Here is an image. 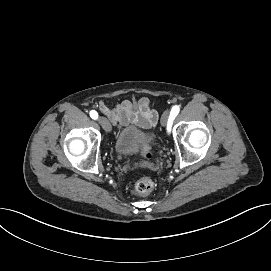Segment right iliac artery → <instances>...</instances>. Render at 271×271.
I'll return each instance as SVG.
<instances>
[{
    "mask_svg": "<svg viewBox=\"0 0 271 271\" xmlns=\"http://www.w3.org/2000/svg\"><path fill=\"white\" fill-rule=\"evenodd\" d=\"M90 117L94 120L98 118V113L95 110L90 111Z\"/></svg>",
    "mask_w": 271,
    "mask_h": 271,
    "instance_id": "right-iliac-artery-1",
    "label": "right iliac artery"
}]
</instances>
